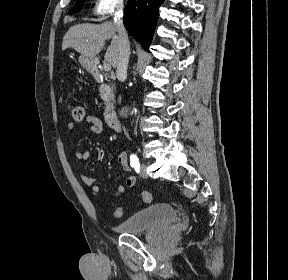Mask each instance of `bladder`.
Returning <instances> with one entry per match:
<instances>
[{
	"label": "bladder",
	"mask_w": 288,
	"mask_h": 280,
	"mask_svg": "<svg viewBox=\"0 0 288 280\" xmlns=\"http://www.w3.org/2000/svg\"><path fill=\"white\" fill-rule=\"evenodd\" d=\"M178 212L171 204L158 203L149 206L116 226V230L125 234H137L149 230L170 226L178 220Z\"/></svg>",
	"instance_id": "bladder-1"
}]
</instances>
